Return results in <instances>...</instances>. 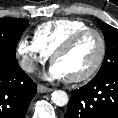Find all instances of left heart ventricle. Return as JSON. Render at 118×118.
I'll use <instances>...</instances> for the list:
<instances>
[{
	"label": "left heart ventricle",
	"mask_w": 118,
	"mask_h": 118,
	"mask_svg": "<svg viewBox=\"0 0 118 118\" xmlns=\"http://www.w3.org/2000/svg\"><path fill=\"white\" fill-rule=\"evenodd\" d=\"M100 52L98 38L87 35L69 52L59 56L54 61L65 73L66 78L86 73L96 62Z\"/></svg>",
	"instance_id": "obj_1"
}]
</instances>
